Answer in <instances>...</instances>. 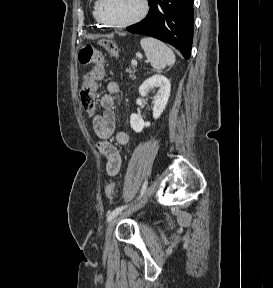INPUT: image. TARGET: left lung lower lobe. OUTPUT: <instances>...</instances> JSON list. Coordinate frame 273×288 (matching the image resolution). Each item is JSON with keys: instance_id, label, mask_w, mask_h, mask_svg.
I'll use <instances>...</instances> for the list:
<instances>
[{"instance_id": "0a47b994", "label": "left lung lower lobe", "mask_w": 273, "mask_h": 288, "mask_svg": "<svg viewBox=\"0 0 273 288\" xmlns=\"http://www.w3.org/2000/svg\"><path fill=\"white\" fill-rule=\"evenodd\" d=\"M149 3L146 18L127 30L169 43L189 59L193 41V0H149Z\"/></svg>"}]
</instances>
